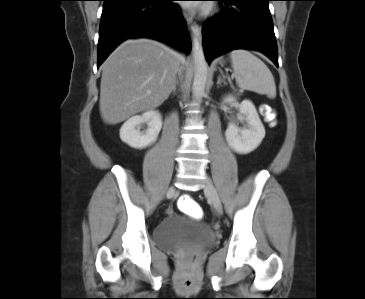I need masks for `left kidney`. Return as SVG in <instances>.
<instances>
[{"mask_svg":"<svg viewBox=\"0 0 365 299\" xmlns=\"http://www.w3.org/2000/svg\"><path fill=\"white\" fill-rule=\"evenodd\" d=\"M225 101L233 105L236 103V98L229 96ZM238 107L243 115L242 119L247 123V128L239 129L236 124L230 123L225 136L229 146L237 153L248 154L261 144L265 129L251 101L243 100Z\"/></svg>","mask_w":365,"mask_h":299,"instance_id":"1","label":"left kidney"}]
</instances>
